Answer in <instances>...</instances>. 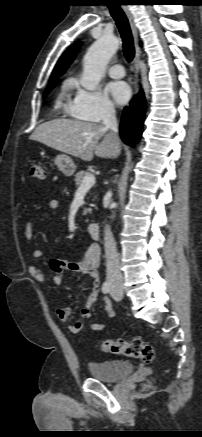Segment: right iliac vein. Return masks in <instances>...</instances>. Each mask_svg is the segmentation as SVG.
<instances>
[{"label": "right iliac vein", "mask_w": 202, "mask_h": 437, "mask_svg": "<svg viewBox=\"0 0 202 437\" xmlns=\"http://www.w3.org/2000/svg\"><path fill=\"white\" fill-rule=\"evenodd\" d=\"M116 290H117V292L120 293V294H122V292H123L120 288H117Z\"/></svg>", "instance_id": "right-iliac-vein-1"}]
</instances>
